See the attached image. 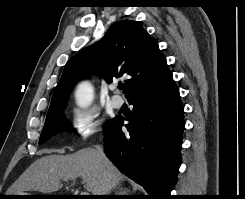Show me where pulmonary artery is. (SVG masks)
I'll return each instance as SVG.
<instances>
[{
	"mask_svg": "<svg viewBox=\"0 0 245 199\" xmlns=\"http://www.w3.org/2000/svg\"><path fill=\"white\" fill-rule=\"evenodd\" d=\"M113 91H115L116 90V86L115 85H113L112 86V88H111ZM123 99H122V97L121 96H119V95H113L112 97H111V104H112V106L114 107V108H116V109H119V108H121L122 107V105H123Z\"/></svg>",
	"mask_w": 245,
	"mask_h": 199,
	"instance_id": "pulmonary-artery-1",
	"label": "pulmonary artery"
}]
</instances>
